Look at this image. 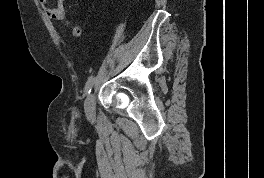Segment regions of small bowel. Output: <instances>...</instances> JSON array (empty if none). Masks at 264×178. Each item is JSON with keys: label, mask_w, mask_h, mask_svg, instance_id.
Instances as JSON below:
<instances>
[{"label": "small bowel", "mask_w": 264, "mask_h": 178, "mask_svg": "<svg viewBox=\"0 0 264 178\" xmlns=\"http://www.w3.org/2000/svg\"><path fill=\"white\" fill-rule=\"evenodd\" d=\"M41 7L43 8L44 12L48 17H50L53 20L62 22L68 26L71 27L72 34L76 37L81 36L82 34V28L79 25H75L70 23V21L67 19L66 12L64 9V2L65 0H57L56 6L52 7L48 0H38Z\"/></svg>", "instance_id": "c3829d8e"}]
</instances>
